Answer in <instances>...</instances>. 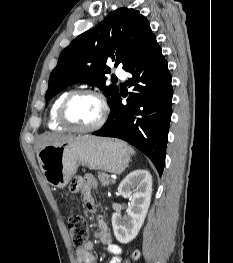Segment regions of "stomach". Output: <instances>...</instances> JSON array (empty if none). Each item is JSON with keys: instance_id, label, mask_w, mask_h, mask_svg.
Wrapping results in <instances>:
<instances>
[{"instance_id": "1", "label": "stomach", "mask_w": 233, "mask_h": 263, "mask_svg": "<svg viewBox=\"0 0 233 263\" xmlns=\"http://www.w3.org/2000/svg\"><path fill=\"white\" fill-rule=\"evenodd\" d=\"M37 158L46 181L54 188H64L80 164L122 173L130 162V151L121 140L79 135L41 148Z\"/></svg>"}]
</instances>
